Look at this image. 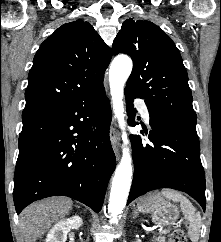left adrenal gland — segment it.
<instances>
[{
	"label": "left adrenal gland",
	"mask_w": 221,
	"mask_h": 242,
	"mask_svg": "<svg viewBox=\"0 0 221 242\" xmlns=\"http://www.w3.org/2000/svg\"><path fill=\"white\" fill-rule=\"evenodd\" d=\"M138 216V212L136 210H134L133 212V218H136Z\"/></svg>",
	"instance_id": "1"
}]
</instances>
